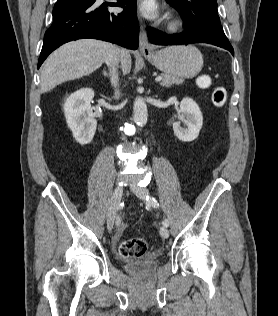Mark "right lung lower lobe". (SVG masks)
<instances>
[{
    "instance_id": "right-lung-lower-lobe-1",
    "label": "right lung lower lobe",
    "mask_w": 278,
    "mask_h": 316,
    "mask_svg": "<svg viewBox=\"0 0 278 316\" xmlns=\"http://www.w3.org/2000/svg\"><path fill=\"white\" fill-rule=\"evenodd\" d=\"M96 0H58L53 9L54 21L44 36L38 68L47 56L60 45L77 39L93 38L138 48L139 24L136 0H117V3L98 5ZM109 6L123 7L114 14Z\"/></svg>"
}]
</instances>
